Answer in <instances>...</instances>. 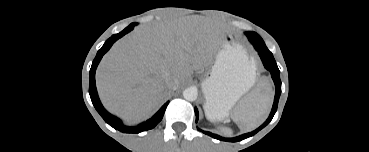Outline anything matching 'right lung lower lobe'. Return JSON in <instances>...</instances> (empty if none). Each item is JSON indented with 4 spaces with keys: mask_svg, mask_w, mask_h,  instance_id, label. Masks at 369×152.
Masks as SVG:
<instances>
[{
    "mask_svg": "<svg viewBox=\"0 0 369 152\" xmlns=\"http://www.w3.org/2000/svg\"><path fill=\"white\" fill-rule=\"evenodd\" d=\"M136 25V23H132L130 24L127 28H125L122 32L113 35L112 37H110L105 44L103 45V47L98 51L91 69H90V85H89V94L91 97V101L94 105V107L96 108V110L98 111V113L102 116V118L110 125L112 126L114 129L119 130L121 132L124 133H140L149 129L154 128L163 118L164 112L166 110V107L168 105L169 102L165 103L161 109L149 120H147L144 123L139 124L138 126L135 127H129L126 126L122 123V121L120 119H118L117 117L111 115L110 113H108L104 107L102 106L98 94H97V90H96V85H95V71L96 68L101 60V58L103 57V55L110 49V47L112 46V44L118 40L119 38H121L122 36H124L126 33L130 32L134 26Z\"/></svg>",
    "mask_w": 369,
    "mask_h": 152,
    "instance_id": "obj_1",
    "label": "right lung lower lobe"
}]
</instances>
